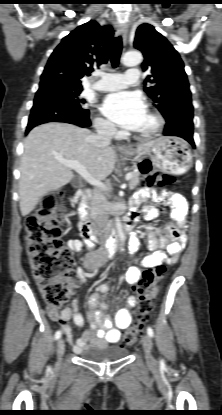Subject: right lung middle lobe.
I'll return each instance as SVG.
<instances>
[{"mask_svg": "<svg viewBox=\"0 0 222 415\" xmlns=\"http://www.w3.org/2000/svg\"><path fill=\"white\" fill-rule=\"evenodd\" d=\"M63 89L67 92L72 98H74L79 103H85V100L80 99V93L82 92V87L72 86L66 83L61 82Z\"/></svg>", "mask_w": 222, "mask_h": 415, "instance_id": "dd1d6c3e", "label": "right lung middle lobe"}]
</instances>
